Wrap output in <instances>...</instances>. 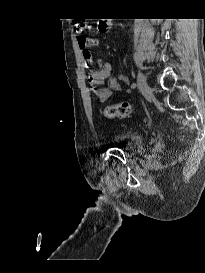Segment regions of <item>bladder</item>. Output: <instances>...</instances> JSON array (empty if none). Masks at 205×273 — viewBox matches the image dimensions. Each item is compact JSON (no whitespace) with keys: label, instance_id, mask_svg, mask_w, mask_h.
<instances>
[{"label":"bladder","instance_id":"1","mask_svg":"<svg viewBox=\"0 0 205 273\" xmlns=\"http://www.w3.org/2000/svg\"><path fill=\"white\" fill-rule=\"evenodd\" d=\"M112 141L117 143H124L126 146L135 149L143 147V136L139 131L128 129L124 130L112 137Z\"/></svg>","mask_w":205,"mask_h":273}]
</instances>
